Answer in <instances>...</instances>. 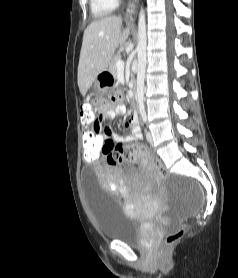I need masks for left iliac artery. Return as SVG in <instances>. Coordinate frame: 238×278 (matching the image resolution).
I'll list each match as a JSON object with an SVG mask.
<instances>
[{
	"instance_id": "left-iliac-artery-1",
	"label": "left iliac artery",
	"mask_w": 238,
	"mask_h": 278,
	"mask_svg": "<svg viewBox=\"0 0 238 278\" xmlns=\"http://www.w3.org/2000/svg\"><path fill=\"white\" fill-rule=\"evenodd\" d=\"M141 116H142L143 121L146 122L147 121L146 113H142Z\"/></svg>"
}]
</instances>
